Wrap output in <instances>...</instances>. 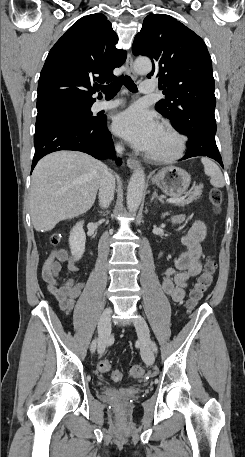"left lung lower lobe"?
<instances>
[{"mask_svg": "<svg viewBox=\"0 0 245 457\" xmlns=\"http://www.w3.org/2000/svg\"><path fill=\"white\" fill-rule=\"evenodd\" d=\"M182 123L173 125L182 134L187 135L188 153L182 158L194 156L210 157L223 167L222 158L218 151L215 133L216 121L214 112H197L183 119Z\"/></svg>", "mask_w": 245, "mask_h": 457, "instance_id": "left-lung-lower-lobe-1", "label": "left lung lower lobe"}]
</instances>
